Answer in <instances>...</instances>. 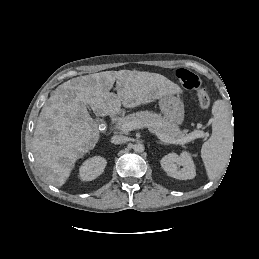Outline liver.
<instances>
[{
	"instance_id": "liver-1",
	"label": "liver",
	"mask_w": 259,
	"mask_h": 259,
	"mask_svg": "<svg viewBox=\"0 0 259 259\" xmlns=\"http://www.w3.org/2000/svg\"><path fill=\"white\" fill-rule=\"evenodd\" d=\"M116 81L117 94L110 93ZM180 92V87L158 73L105 71L68 80L59 85L43 106L33 137V152L40 173L61 187L75 162L100 139L97 122L90 116L135 108Z\"/></svg>"
}]
</instances>
